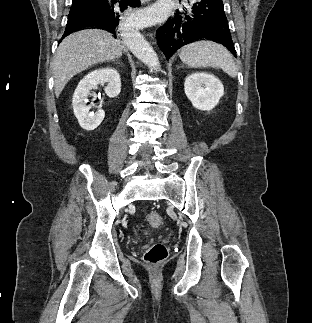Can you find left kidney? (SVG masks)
Listing matches in <instances>:
<instances>
[{
	"mask_svg": "<svg viewBox=\"0 0 312 323\" xmlns=\"http://www.w3.org/2000/svg\"><path fill=\"white\" fill-rule=\"evenodd\" d=\"M185 94L197 110H212L224 94L223 84L213 74L196 72L187 76Z\"/></svg>",
	"mask_w": 312,
	"mask_h": 323,
	"instance_id": "left-kidney-1",
	"label": "left kidney"
}]
</instances>
